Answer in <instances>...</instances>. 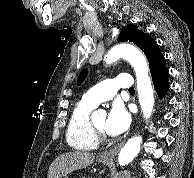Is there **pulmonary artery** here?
Wrapping results in <instances>:
<instances>
[{
	"label": "pulmonary artery",
	"instance_id": "obj_1",
	"mask_svg": "<svg viewBox=\"0 0 194 178\" xmlns=\"http://www.w3.org/2000/svg\"><path fill=\"white\" fill-rule=\"evenodd\" d=\"M133 85L129 74H121L115 78L106 79L92 87L83 96V100L97 106L103 101L112 99L119 88H130Z\"/></svg>",
	"mask_w": 194,
	"mask_h": 178
}]
</instances>
